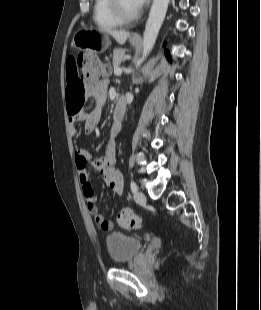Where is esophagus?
<instances>
[{
	"instance_id": "34e87169",
	"label": "esophagus",
	"mask_w": 261,
	"mask_h": 310,
	"mask_svg": "<svg viewBox=\"0 0 261 310\" xmlns=\"http://www.w3.org/2000/svg\"><path fill=\"white\" fill-rule=\"evenodd\" d=\"M132 38L135 39V40H138V39H139V36H138V35H133Z\"/></svg>"
}]
</instances>
